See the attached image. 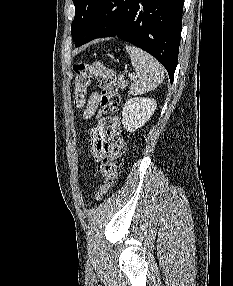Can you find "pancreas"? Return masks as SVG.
<instances>
[{"label":"pancreas","instance_id":"1","mask_svg":"<svg viewBox=\"0 0 233 286\" xmlns=\"http://www.w3.org/2000/svg\"><path fill=\"white\" fill-rule=\"evenodd\" d=\"M128 85V82L124 80L123 77H119L118 79V87L121 89H125V87Z\"/></svg>","mask_w":233,"mask_h":286}]
</instances>
